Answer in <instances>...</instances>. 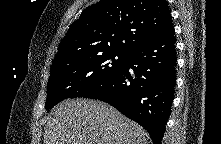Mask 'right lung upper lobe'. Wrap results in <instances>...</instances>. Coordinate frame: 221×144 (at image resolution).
<instances>
[{
	"instance_id": "right-lung-upper-lobe-1",
	"label": "right lung upper lobe",
	"mask_w": 221,
	"mask_h": 144,
	"mask_svg": "<svg viewBox=\"0 0 221 144\" xmlns=\"http://www.w3.org/2000/svg\"><path fill=\"white\" fill-rule=\"evenodd\" d=\"M171 26L166 0H102L70 26L51 69L105 52L128 54Z\"/></svg>"
}]
</instances>
